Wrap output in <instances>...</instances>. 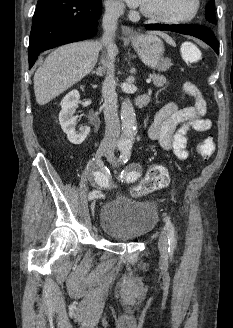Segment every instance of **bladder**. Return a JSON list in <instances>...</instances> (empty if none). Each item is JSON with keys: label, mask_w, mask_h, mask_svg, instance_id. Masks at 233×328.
<instances>
[{"label": "bladder", "mask_w": 233, "mask_h": 328, "mask_svg": "<svg viewBox=\"0 0 233 328\" xmlns=\"http://www.w3.org/2000/svg\"><path fill=\"white\" fill-rule=\"evenodd\" d=\"M158 220L151 201H138L116 195L106 201L99 212L102 231L115 239L134 240L152 230Z\"/></svg>", "instance_id": "bladder-1"}]
</instances>
